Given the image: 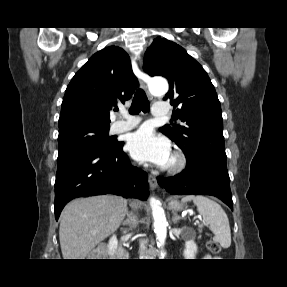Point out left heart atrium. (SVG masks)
Segmentation results:
<instances>
[{
  "mask_svg": "<svg viewBox=\"0 0 287 287\" xmlns=\"http://www.w3.org/2000/svg\"><path fill=\"white\" fill-rule=\"evenodd\" d=\"M127 149L131 156L139 162L165 166L171 158L168 141L156 135L152 129L146 126L129 136Z\"/></svg>",
  "mask_w": 287,
  "mask_h": 287,
  "instance_id": "1",
  "label": "left heart atrium"
}]
</instances>
